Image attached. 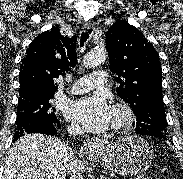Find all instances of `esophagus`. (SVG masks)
Wrapping results in <instances>:
<instances>
[{
	"label": "esophagus",
	"instance_id": "obj_1",
	"mask_svg": "<svg viewBox=\"0 0 183 179\" xmlns=\"http://www.w3.org/2000/svg\"><path fill=\"white\" fill-rule=\"evenodd\" d=\"M95 23L93 21H87L84 24L86 29L93 28ZM108 144L106 140H102L100 138H90L84 141V148L89 154H98L101 150Z\"/></svg>",
	"mask_w": 183,
	"mask_h": 179
}]
</instances>
